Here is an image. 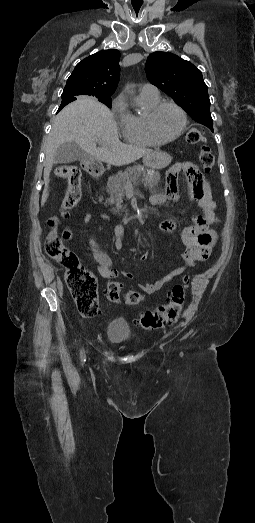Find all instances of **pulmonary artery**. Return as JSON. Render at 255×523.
I'll return each mask as SVG.
<instances>
[{
	"label": "pulmonary artery",
	"mask_w": 255,
	"mask_h": 523,
	"mask_svg": "<svg viewBox=\"0 0 255 523\" xmlns=\"http://www.w3.org/2000/svg\"><path fill=\"white\" fill-rule=\"evenodd\" d=\"M140 91L142 93H146V94L159 95L158 88L155 85H152V84H149V83L144 84L141 87Z\"/></svg>",
	"instance_id": "e3ab8cb5"
}]
</instances>
